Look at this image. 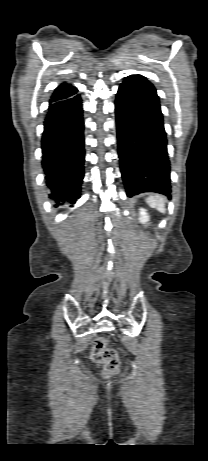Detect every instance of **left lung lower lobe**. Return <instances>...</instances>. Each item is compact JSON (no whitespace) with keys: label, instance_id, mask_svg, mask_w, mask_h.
Segmentation results:
<instances>
[{"label":"left lung lower lobe","instance_id":"1","mask_svg":"<svg viewBox=\"0 0 208 461\" xmlns=\"http://www.w3.org/2000/svg\"><path fill=\"white\" fill-rule=\"evenodd\" d=\"M115 112L127 196L157 192L170 198V162L156 89L142 75L126 77L118 89Z\"/></svg>","mask_w":208,"mask_h":461}]
</instances>
